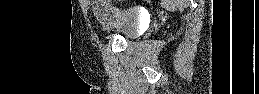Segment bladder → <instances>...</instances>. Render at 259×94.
<instances>
[{
  "label": "bladder",
  "instance_id": "1",
  "mask_svg": "<svg viewBox=\"0 0 259 94\" xmlns=\"http://www.w3.org/2000/svg\"><path fill=\"white\" fill-rule=\"evenodd\" d=\"M95 12L100 29L106 35L133 39L142 32V19L136 8L98 6Z\"/></svg>",
  "mask_w": 259,
  "mask_h": 94
}]
</instances>
